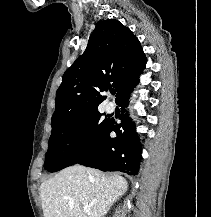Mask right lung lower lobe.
Instances as JSON below:
<instances>
[{
	"instance_id": "1",
	"label": "right lung lower lobe",
	"mask_w": 211,
	"mask_h": 217,
	"mask_svg": "<svg viewBox=\"0 0 211 217\" xmlns=\"http://www.w3.org/2000/svg\"><path fill=\"white\" fill-rule=\"evenodd\" d=\"M138 74L125 91L116 100L121 107L120 124L109 120L105 135L99 145L83 160L79 161L87 167L102 171H121L129 175H136L140 165L141 145L135 133V125L131 124L126 109L133 87L138 83ZM114 131L116 137H110Z\"/></svg>"
}]
</instances>
